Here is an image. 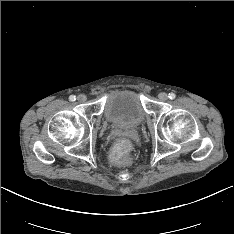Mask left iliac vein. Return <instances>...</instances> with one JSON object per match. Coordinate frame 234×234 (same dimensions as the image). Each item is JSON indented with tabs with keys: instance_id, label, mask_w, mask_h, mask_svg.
Returning a JSON list of instances; mask_svg holds the SVG:
<instances>
[{
	"instance_id": "4c4485c4",
	"label": "left iliac vein",
	"mask_w": 234,
	"mask_h": 234,
	"mask_svg": "<svg viewBox=\"0 0 234 234\" xmlns=\"http://www.w3.org/2000/svg\"><path fill=\"white\" fill-rule=\"evenodd\" d=\"M158 98L161 100V101H166L168 99V95L164 92H161L159 95H158Z\"/></svg>"
}]
</instances>
